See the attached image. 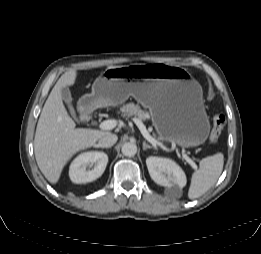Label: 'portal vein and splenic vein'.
<instances>
[{
	"mask_svg": "<svg viewBox=\"0 0 261 254\" xmlns=\"http://www.w3.org/2000/svg\"><path fill=\"white\" fill-rule=\"evenodd\" d=\"M134 123L137 125V127L139 128V130L141 131L142 135L144 136V138L150 142L152 145L156 146V145H161L159 142H157L146 130L144 124L142 123L141 120L134 118L133 119ZM117 125V121L114 119H109V120H104L103 122H101L99 124V128L102 130H112L113 128H115ZM182 156L183 158L186 160V162L188 164H190L192 166L193 169H197V165L196 163L189 157L187 156V154L182 151Z\"/></svg>",
	"mask_w": 261,
	"mask_h": 254,
	"instance_id": "18ae733b",
	"label": "portal vein and splenic vein"
}]
</instances>
